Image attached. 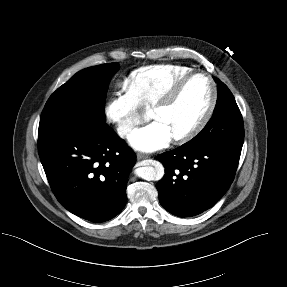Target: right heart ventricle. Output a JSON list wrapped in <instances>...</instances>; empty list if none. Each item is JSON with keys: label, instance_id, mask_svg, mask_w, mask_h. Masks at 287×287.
<instances>
[{"label": "right heart ventricle", "instance_id": "obj_1", "mask_svg": "<svg viewBox=\"0 0 287 287\" xmlns=\"http://www.w3.org/2000/svg\"><path fill=\"white\" fill-rule=\"evenodd\" d=\"M192 72L182 65L162 64L139 68L133 71L127 86L140 106L154 105L181 77Z\"/></svg>", "mask_w": 287, "mask_h": 287}]
</instances>
